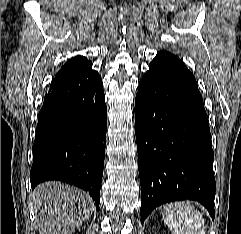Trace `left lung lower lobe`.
Returning a JSON list of instances; mask_svg holds the SVG:
<instances>
[{
	"label": "left lung lower lobe",
	"instance_id": "obj_1",
	"mask_svg": "<svg viewBox=\"0 0 241 234\" xmlns=\"http://www.w3.org/2000/svg\"><path fill=\"white\" fill-rule=\"evenodd\" d=\"M135 132L142 223L161 204L191 199L214 219V153L208 117L193 74L160 51L140 80Z\"/></svg>",
	"mask_w": 241,
	"mask_h": 234
}]
</instances>
